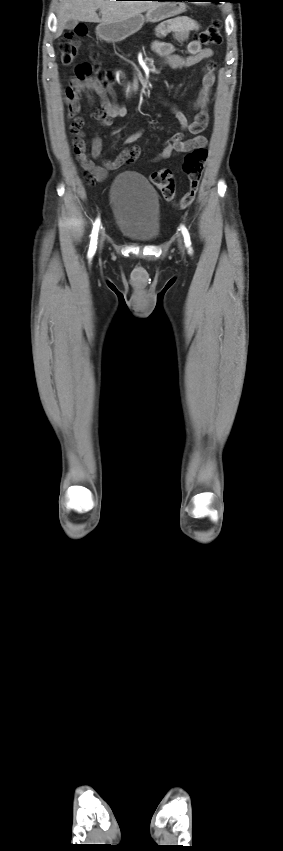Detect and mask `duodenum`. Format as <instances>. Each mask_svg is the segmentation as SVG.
<instances>
[{"mask_svg": "<svg viewBox=\"0 0 283 851\" xmlns=\"http://www.w3.org/2000/svg\"><path fill=\"white\" fill-rule=\"evenodd\" d=\"M141 83H142V81H140V80H134L127 85V90H129V91L135 90V89L140 87Z\"/></svg>", "mask_w": 283, "mask_h": 851, "instance_id": "410a0bca", "label": "duodenum"}]
</instances>
